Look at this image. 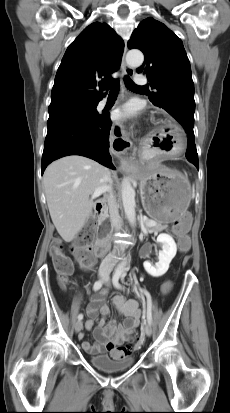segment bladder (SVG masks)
Returning a JSON list of instances; mask_svg holds the SVG:
<instances>
[{
  "mask_svg": "<svg viewBox=\"0 0 230 413\" xmlns=\"http://www.w3.org/2000/svg\"><path fill=\"white\" fill-rule=\"evenodd\" d=\"M89 361L95 368L108 373L127 370L135 362L134 358L130 356L122 359H113L108 355L91 356Z\"/></svg>",
  "mask_w": 230,
  "mask_h": 413,
  "instance_id": "bladder-1",
  "label": "bladder"
}]
</instances>
